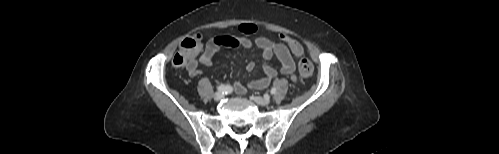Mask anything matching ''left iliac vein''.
<instances>
[{
	"label": "left iliac vein",
	"mask_w": 499,
	"mask_h": 154,
	"mask_svg": "<svg viewBox=\"0 0 499 154\" xmlns=\"http://www.w3.org/2000/svg\"><path fill=\"white\" fill-rule=\"evenodd\" d=\"M251 99L261 106H266L270 103L269 97L252 96Z\"/></svg>",
	"instance_id": "obj_1"
}]
</instances>
